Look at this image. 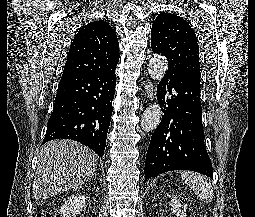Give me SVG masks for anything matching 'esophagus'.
<instances>
[{
  "label": "esophagus",
  "mask_w": 255,
  "mask_h": 217,
  "mask_svg": "<svg viewBox=\"0 0 255 217\" xmlns=\"http://www.w3.org/2000/svg\"><path fill=\"white\" fill-rule=\"evenodd\" d=\"M145 93L146 95L152 99V95H153V90H152V83L150 80L147 81V83L145 84Z\"/></svg>",
  "instance_id": "obj_1"
}]
</instances>
